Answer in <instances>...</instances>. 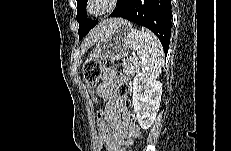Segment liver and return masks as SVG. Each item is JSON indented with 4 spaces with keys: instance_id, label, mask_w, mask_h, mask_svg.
I'll list each match as a JSON object with an SVG mask.
<instances>
[{
    "instance_id": "1",
    "label": "liver",
    "mask_w": 231,
    "mask_h": 151,
    "mask_svg": "<svg viewBox=\"0 0 231 151\" xmlns=\"http://www.w3.org/2000/svg\"><path fill=\"white\" fill-rule=\"evenodd\" d=\"M127 23V21L123 19H110L102 22L97 27H95L89 34V36L86 38L84 42V50L88 49L90 46L95 44L100 40V38L103 36V34L113 28L115 25H122Z\"/></svg>"
}]
</instances>
